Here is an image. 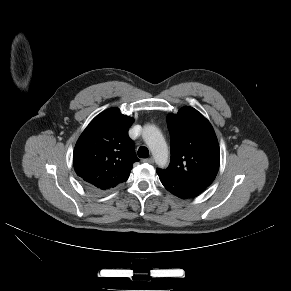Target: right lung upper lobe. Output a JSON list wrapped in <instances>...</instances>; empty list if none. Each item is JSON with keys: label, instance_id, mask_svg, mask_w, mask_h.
<instances>
[{"label": "right lung upper lobe", "instance_id": "obj_1", "mask_svg": "<svg viewBox=\"0 0 291 291\" xmlns=\"http://www.w3.org/2000/svg\"><path fill=\"white\" fill-rule=\"evenodd\" d=\"M133 118L109 108L97 115L79 137L74 153V169L97 190L125 182L134 162V143L128 136Z\"/></svg>", "mask_w": 291, "mask_h": 291}]
</instances>
